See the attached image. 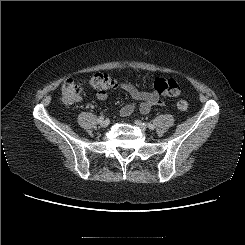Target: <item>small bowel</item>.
Returning <instances> with one entry per match:
<instances>
[{"instance_id": "obj_1", "label": "small bowel", "mask_w": 245, "mask_h": 245, "mask_svg": "<svg viewBox=\"0 0 245 245\" xmlns=\"http://www.w3.org/2000/svg\"><path fill=\"white\" fill-rule=\"evenodd\" d=\"M120 87L125 90L133 99V102L122 107L120 114L125 117L132 114L138 109L142 114H148L153 106H165V101L160 98L155 91L139 90L132 82H122ZM96 97L99 100H106L108 97L107 91H97Z\"/></svg>"}]
</instances>
